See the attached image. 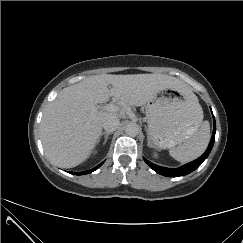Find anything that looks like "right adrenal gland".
Wrapping results in <instances>:
<instances>
[{
    "label": "right adrenal gland",
    "mask_w": 243,
    "mask_h": 243,
    "mask_svg": "<svg viewBox=\"0 0 243 243\" xmlns=\"http://www.w3.org/2000/svg\"><path fill=\"white\" fill-rule=\"evenodd\" d=\"M110 134H112V132H103V133H101V135L99 137V140H98V143L101 141L102 137L104 136L105 139H104L103 145H105Z\"/></svg>",
    "instance_id": "2a0ac1e0"
}]
</instances>
